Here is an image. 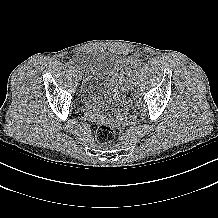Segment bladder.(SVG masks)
<instances>
[{
  "label": "bladder",
  "instance_id": "1",
  "mask_svg": "<svg viewBox=\"0 0 218 218\" xmlns=\"http://www.w3.org/2000/svg\"><path fill=\"white\" fill-rule=\"evenodd\" d=\"M75 62L81 81L79 97L84 108L103 113L113 110V102L120 99L124 81L133 70L131 60L80 52Z\"/></svg>",
  "mask_w": 218,
  "mask_h": 218
}]
</instances>
